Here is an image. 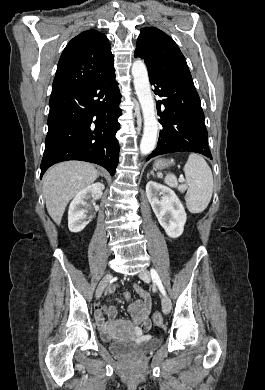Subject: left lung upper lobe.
Returning <instances> with one entry per match:
<instances>
[{
    "label": "left lung upper lobe",
    "instance_id": "1",
    "mask_svg": "<svg viewBox=\"0 0 265 390\" xmlns=\"http://www.w3.org/2000/svg\"><path fill=\"white\" fill-rule=\"evenodd\" d=\"M134 56L144 59L150 76L192 78L185 57L177 44L155 27L142 29Z\"/></svg>",
    "mask_w": 265,
    "mask_h": 390
}]
</instances>
